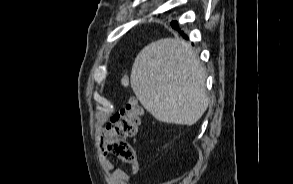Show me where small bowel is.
I'll return each mask as SVG.
<instances>
[{"mask_svg": "<svg viewBox=\"0 0 293 184\" xmlns=\"http://www.w3.org/2000/svg\"><path fill=\"white\" fill-rule=\"evenodd\" d=\"M106 136V129H102L99 133V142L102 144L104 138ZM100 163L104 170H106L109 173L108 176V183L109 184H129V176L128 174L119 168H115L113 162L111 159L102 156L100 158ZM131 170L133 173H137L139 170L138 163H134L131 165Z\"/></svg>", "mask_w": 293, "mask_h": 184, "instance_id": "small-bowel-1", "label": "small bowel"}]
</instances>
